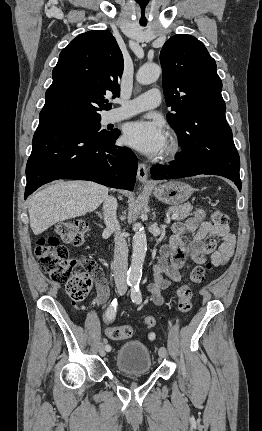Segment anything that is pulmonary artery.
Segmentation results:
<instances>
[{"instance_id": "1", "label": "pulmonary artery", "mask_w": 262, "mask_h": 431, "mask_svg": "<svg viewBox=\"0 0 262 431\" xmlns=\"http://www.w3.org/2000/svg\"><path fill=\"white\" fill-rule=\"evenodd\" d=\"M161 101L162 97L159 89H150L131 100H119L121 106L111 110L107 116V120L108 122H116L137 113L154 109L161 104Z\"/></svg>"}]
</instances>
